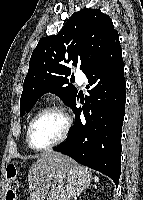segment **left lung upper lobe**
<instances>
[{
	"instance_id": "obj_1",
	"label": "left lung upper lobe",
	"mask_w": 143,
	"mask_h": 200,
	"mask_svg": "<svg viewBox=\"0 0 143 200\" xmlns=\"http://www.w3.org/2000/svg\"><path fill=\"white\" fill-rule=\"evenodd\" d=\"M117 35L108 15L98 9H84L74 13L57 35L41 38L31 55L24 80L20 115L29 112L48 92L71 106L77 90L67 79L71 75L67 64L80 65L85 72Z\"/></svg>"
}]
</instances>
